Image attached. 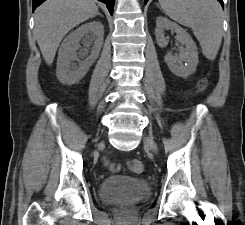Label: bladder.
<instances>
[{
  "label": "bladder",
  "instance_id": "bladder-1",
  "mask_svg": "<svg viewBox=\"0 0 245 225\" xmlns=\"http://www.w3.org/2000/svg\"><path fill=\"white\" fill-rule=\"evenodd\" d=\"M151 196L150 183L144 178H135L124 174H114L106 177L97 189L98 202L109 206L126 198L138 201L147 200Z\"/></svg>",
  "mask_w": 245,
  "mask_h": 225
}]
</instances>
